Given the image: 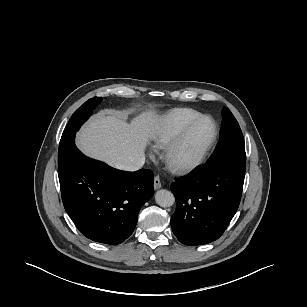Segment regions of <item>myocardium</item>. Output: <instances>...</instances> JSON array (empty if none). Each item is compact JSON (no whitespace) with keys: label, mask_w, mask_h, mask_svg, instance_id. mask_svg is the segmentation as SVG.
<instances>
[{"label":"myocardium","mask_w":307,"mask_h":307,"mask_svg":"<svg viewBox=\"0 0 307 307\" xmlns=\"http://www.w3.org/2000/svg\"><path fill=\"white\" fill-rule=\"evenodd\" d=\"M210 120L214 126V134L213 137L208 144V146L205 148V150L197 157L195 160L188 162V163H179L175 160V156L184 143L185 139L187 138L190 131L193 129V127L200 122L201 120ZM219 136V127L215 119L209 115H200L196 117L195 119L191 120L178 134V136L173 140V142L169 145L166 154H165V162L168 168L176 173H188L195 169H197L199 166H201L204 161L209 156L210 152L212 151L213 147L215 146Z\"/></svg>","instance_id":"f54148a6"}]
</instances>
